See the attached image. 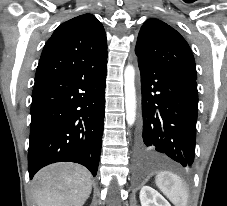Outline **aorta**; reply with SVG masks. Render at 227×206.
<instances>
[{
  "label": "aorta",
  "mask_w": 227,
  "mask_h": 206,
  "mask_svg": "<svg viewBox=\"0 0 227 206\" xmlns=\"http://www.w3.org/2000/svg\"><path fill=\"white\" fill-rule=\"evenodd\" d=\"M124 91L126 121L131 126L136 118L135 69L132 65H127L124 71Z\"/></svg>",
  "instance_id": "obj_1"
}]
</instances>
